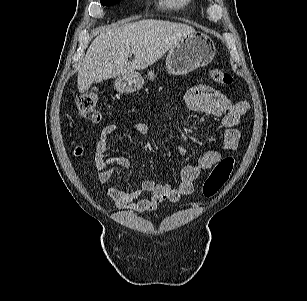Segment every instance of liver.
<instances>
[{
  "label": "liver",
  "mask_w": 307,
  "mask_h": 301,
  "mask_svg": "<svg viewBox=\"0 0 307 301\" xmlns=\"http://www.w3.org/2000/svg\"><path fill=\"white\" fill-rule=\"evenodd\" d=\"M194 28L182 23L144 19L107 29L89 46L78 72L77 86L86 92L94 81L126 75L158 61ZM134 55L131 61L128 56Z\"/></svg>",
  "instance_id": "liver-1"
}]
</instances>
